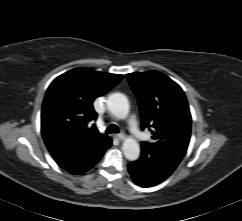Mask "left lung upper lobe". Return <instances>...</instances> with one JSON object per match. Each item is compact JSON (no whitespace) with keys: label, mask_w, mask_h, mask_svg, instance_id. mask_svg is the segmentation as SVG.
<instances>
[{"label":"left lung upper lobe","mask_w":242,"mask_h":221,"mask_svg":"<svg viewBox=\"0 0 242 221\" xmlns=\"http://www.w3.org/2000/svg\"><path fill=\"white\" fill-rule=\"evenodd\" d=\"M138 98L141 128H153V142H142L180 163L191 134V114L181 87L158 71L127 74Z\"/></svg>","instance_id":"1"}]
</instances>
